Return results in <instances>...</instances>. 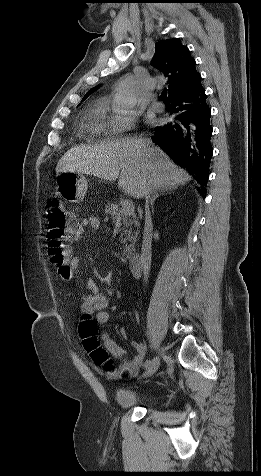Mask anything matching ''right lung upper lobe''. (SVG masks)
Instances as JSON below:
<instances>
[{
    "label": "right lung upper lobe",
    "mask_w": 261,
    "mask_h": 476,
    "mask_svg": "<svg viewBox=\"0 0 261 476\" xmlns=\"http://www.w3.org/2000/svg\"><path fill=\"white\" fill-rule=\"evenodd\" d=\"M152 65L169 79L170 99L191 89L200 78L189 49L178 38L162 40L155 44ZM92 90L85 94L84 99Z\"/></svg>",
    "instance_id": "1"
}]
</instances>
